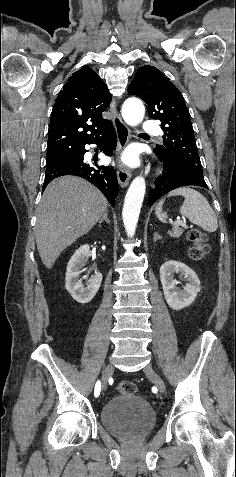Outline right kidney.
Listing matches in <instances>:
<instances>
[{
  "label": "right kidney",
  "instance_id": "obj_1",
  "mask_svg": "<svg viewBox=\"0 0 236 477\" xmlns=\"http://www.w3.org/2000/svg\"><path fill=\"white\" fill-rule=\"evenodd\" d=\"M90 256L89 245L85 244L78 248L68 262L65 278L66 290L74 300L85 304L90 302L98 292L102 274L96 272L84 286L80 279V274Z\"/></svg>",
  "mask_w": 236,
  "mask_h": 477
}]
</instances>
